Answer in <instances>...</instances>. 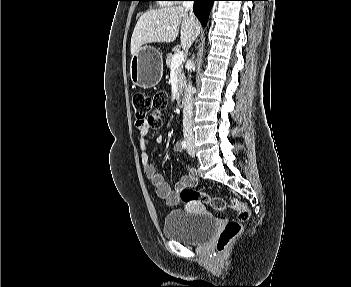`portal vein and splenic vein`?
I'll return each mask as SVG.
<instances>
[{
  "instance_id": "obj_1",
  "label": "portal vein and splenic vein",
  "mask_w": 351,
  "mask_h": 287,
  "mask_svg": "<svg viewBox=\"0 0 351 287\" xmlns=\"http://www.w3.org/2000/svg\"><path fill=\"white\" fill-rule=\"evenodd\" d=\"M183 60H184V53L183 52L176 53L172 58L171 68L179 67L182 64Z\"/></svg>"
}]
</instances>
